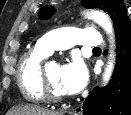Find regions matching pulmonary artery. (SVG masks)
Listing matches in <instances>:
<instances>
[{
	"label": "pulmonary artery",
	"mask_w": 131,
	"mask_h": 115,
	"mask_svg": "<svg viewBox=\"0 0 131 115\" xmlns=\"http://www.w3.org/2000/svg\"><path fill=\"white\" fill-rule=\"evenodd\" d=\"M75 44L99 47L103 41L97 29L70 27L53 30L37 42V46L48 54L55 49H66Z\"/></svg>",
	"instance_id": "obj_1"
}]
</instances>
